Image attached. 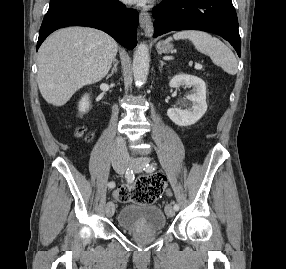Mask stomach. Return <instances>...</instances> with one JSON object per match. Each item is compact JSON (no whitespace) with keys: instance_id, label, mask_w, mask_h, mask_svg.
<instances>
[{"instance_id":"stomach-1","label":"stomach","mask_w":286,"mask_h":269,"mask_svg":"<svg viewBox=\"0 0 286 269\" xmlns=\"http://www.w3.org/2000/svg\"><path fill=\"white\" fill-rule=\"evenodd\" d=\"M157 48H158V50H160L162 52H168V51H170L172 49V46L169 43H166V42L162 43V42H160V43L157 44Z\"/></svg>"}]
</instances>
